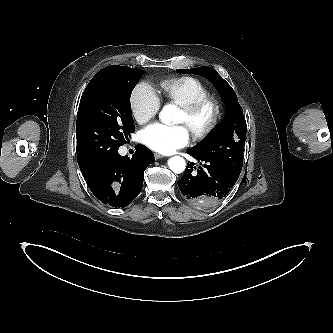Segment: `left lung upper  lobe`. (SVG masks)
Segmentation results:
<instances>
[{
  "label": "left lung upper lobe",
  "mask_w": 333,
  "mask_h": 333,
  "mask_svg": "<svg viewBox=\"0 0 333 333\" xmlns=\"http://www.w3.org/2000/svg\"><path fill=\"white\" fill-rule=\"evenodd\" d=\"M198 74L211 80L227 106L224 124L201 145L192 148L200 156L212 160L234 175H240L246 141V121L237 96L231 86L212 67L177 70Z\"/></svg>",
  "instance_id": "obj_1"
}]
</instances>
